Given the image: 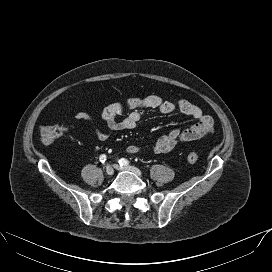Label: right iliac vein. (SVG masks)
<instances>
[{
    "mask_svg": "<svg viewBox=\"0 0 272 272\" xmlns=\"http://www.w3.org/2000/svg\"><path fill=\"white\" fill-rule=\"evenodd\" d=\"M105 172L108 176H112L114 174V169L112 166L108 165L106 166Z\"/></svg>",
    "mask_w": 272,
    "mask_h": 272,
    "instance_id": "63e3f726",
    "label": "right iliac vein"
}]
</instances>
